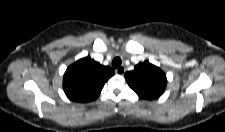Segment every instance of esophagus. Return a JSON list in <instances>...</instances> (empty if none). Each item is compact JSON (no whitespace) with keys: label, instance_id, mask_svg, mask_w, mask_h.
Listing matches in <instances>:
<instances>
[{"label":"esophagus","instance_id":"34e87169","mask_svg":"<svg viewBox=\"0 0 225 132\" xmlns=\"http://www.w3.org/2000/svg\"><path fill=\"white\" fill-rule=\"evenodd\" d=\"M125 71H126V69H125L124 66H120L119 68H117L115 70V72H116L117 75H123L125 73Z\"/></svg>","mask_w":225,"mask_h":132}]
</instances>
